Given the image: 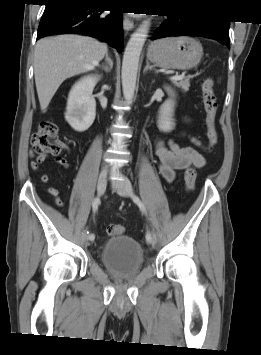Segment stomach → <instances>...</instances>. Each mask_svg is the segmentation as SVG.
<instances>
[{
	"label": "stomach",
	"mask_w": 261,
	"mask_h": 355,
	"mask_svg": "<svg viewBox=\"0 0 261 355\" xmlns=\"http://www.w3.org/2000/svg\"><path fill=\"white\" fill-rule=\"evenodd\" d=\"M202 56L200 42L186 36L156 40L147 51L148 60L166 69H191L200 63Z\"/></svg>",
	"instance_id": "1"
}]
</instances>
